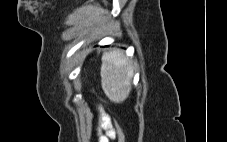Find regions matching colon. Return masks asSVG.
<instances>
[{"mask_svg":"<svg viewBox=\"0 0 227 142\" xmlns=\"http://www.w3.org/2000/svg\"><path fill=\"white\" fill-rule=\"evenodd\" d=\"M113 139H116L117 142H124V133L117 122L114 123L113 127Z\"/></svg>","mask_w":227,"mask_h":142,"instance_id":"1","label":"colon"}]
</instances>
